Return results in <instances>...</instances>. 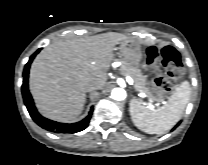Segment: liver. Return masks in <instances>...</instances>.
<instances>
[{
	"label": "liver",
	"instance_id": "6515ba94",
	"mask_svg": "<svg viewBox=\"0 0 208 165\" xmlns=\"http://www.w3.org/2000/svg\"><path fill=\"white\" fill-rule=\"evenodd\" d=\"M130 39L108 32L76 40H58L45 47L31 65L29 88L44 116L69 122L79 116L87 88L107 83L116 44Z\"/></svg>",
	"mask_w": 208,
	"mask_h": 165
}]
</instances>
